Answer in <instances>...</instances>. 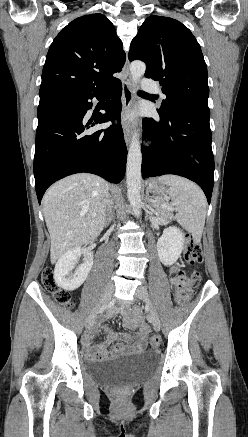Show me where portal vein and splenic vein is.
Returning a JSON list of instances; mask_svg holds the SVG:
<instances>
[{
  "label": "portal vein and splenic vein",
  "mask_w": 248,
  "mask_h": 437,
  "mask_svg": "<svg viewBox=\"0 0 248 437\" xmlns=\"http://www.w3.org/2000/svg\"><path fill=\"white\" fill-rule=\"evenodd\" d=\"M162 207H165V208H167V206L166 205H162ZM93 216H95V214H92Z\"/></svg>",
  "instance_id": "portal-vein-and-splenic-vein-1"
}]
</instances>
